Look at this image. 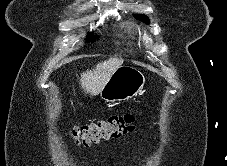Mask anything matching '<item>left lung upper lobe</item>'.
<instances>
[{"instance_id":"1","label":"left lung upper lobe","mask_w":227,"mask_h":166,"mask_svg":"<svg viewBox=\"0 0 227 166\" xmlns=\"http://www.w3.org/2000/svg\"><path fill=\"white\" fill-rule=\"evenodd\" d=\"M135 17H136L137 19H139V20H141V21L147 23V24L149 23L148 17H146V16H144V15H136Z\"/></svg>"}]
</instances>
